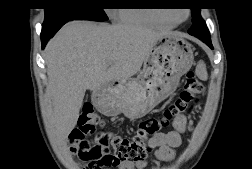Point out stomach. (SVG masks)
Masks as SVG:
<instances>
[{
    "instance_id": "obj_1",
    "label": "stomach",
    "mask_w": 252,
    "mask_h": 169,
    "mask_svg": "<svg viewBox=\"0 0 252 169\" xmlns=\"http://www.w3.org/2000/svg\"><path fill=\"white\" fill-rule=\"evenodd\" d=\"M193 61L188 41L178 34L165 35L146 56L137 77L99 88L93 93V102L105 115L123 113L131 120L141 118L175 91Z\"/></svg>"
}]
</instances>
